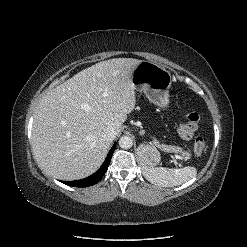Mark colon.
<instances>
[{
	"label": "colon",
	"instance_id": "5ec220e1",
	"mask_svg": "<svg viewBox=\"0 0 247 247\" xmlns=\"http://www.w3.org/2000/svg\"><path fill=\"white\" fill-rule=\"evenodd\" d=\"M199 115L192 111L187 113L178 125V133L184 139L192 138L198 129ZM206 149V142L202 137H196L193 143V152L200 156Z\"/></svg>",
	"mask_w": 247,
	"mask_h": 247
}]
</instances>
